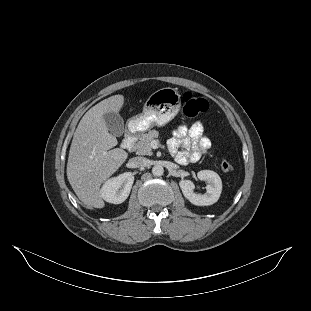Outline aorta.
Returning a JSON list of instances; mask_svg holds the SVG:
<instances>
[{"instance_id":"762f6f07","label":"aorta","mask_w":311,"mask_h":311,"mask_svg":"<svg viewBox=\"0 0 311 311\" xmlns=\"http://www.w3.org/2000/svg\"><path fill=\"white\" fill-rule=\"evenodd\" d=\"M164 173V168L161 165H155L152 168V174L154 176H162Z\"/></svg>"}]
</instances>
